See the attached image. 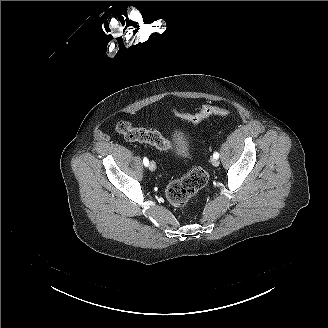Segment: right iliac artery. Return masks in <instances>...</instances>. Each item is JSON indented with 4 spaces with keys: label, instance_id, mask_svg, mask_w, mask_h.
<instances>
[{
    "label": "right iliac artery",
    "instance_id": "obj_1",
    "mask_svg": "<svg viewBox=\"0 0 328 328\" xmlns=\"http://www.w3.org/2000/svg\"><path fill=\"white\" fill-rule=\"evenodd\" d=\"M143 163H144L145 166H148L149 165V161H148V159L146 157H144Z\"/></svg>",
    "mask_w": 328,
    "mask_h": 328
}]
</instances>
